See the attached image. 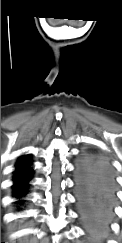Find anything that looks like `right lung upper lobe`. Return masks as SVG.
<instances>
[{
    "mask_svg": "<svg viewBox=\"0 0 122 243\" xmlns=\"http://www.w3.org/2000/svg\"><path fill=\"white\" fill-rule=\"evenodd\" d=\"M30 160L26 157H22L18 160L17 164H16V170L27 167L30 165Z\"/></svg>",
    "mask_w": 122,
    "mask_h": 243,
    "instance_id": "1",
    "label": "right lung upper lobe"
}]
</instances>
